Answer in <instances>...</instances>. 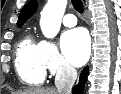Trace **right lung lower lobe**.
Instances as JSON below:
<instances>
[{
  "label": "right lung lower lobe",
  "mask_w": 121,
  "mask_h": 94,
  "mask_svg": "<svg viewBox=\"0 0 121 94\" xmlns=\"http://www.w3.org/2000/svg\"><path fill=\"white\" fill-rule=\"evenodd\" d=\"M88 68H84L80 74L79 83L73 88L74 94H82Z\"/></svg>",
  "instance_id": "right-lung-lower-lobe-1"
}]
</instances>
